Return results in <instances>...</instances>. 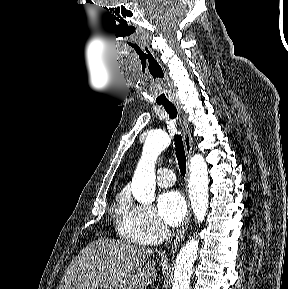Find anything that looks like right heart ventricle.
<instances>
[{"mask_svg": "<svg viewBox=\"0 0 288 289\" xmlns=\"http://www.w3.org/2000/svg\"><path fill=\"white\" fill-rule=\"evenodd\" d=\"M126 200H127V196L125 194H120V196L118 198L117 208H116L117 214L119 216L122 215V212L124 209V204H125Z\"/></svg>", "mask_w": 288, "mask_h": 289, "instance_id": "1", "label": "right heart ventricle"}]
</instances>
